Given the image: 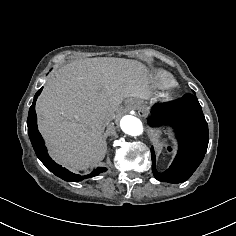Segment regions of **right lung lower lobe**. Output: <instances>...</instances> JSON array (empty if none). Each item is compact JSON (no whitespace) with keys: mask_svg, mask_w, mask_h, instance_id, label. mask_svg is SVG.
<instances>
[{"mask_svg":"<svg viewBox=\"0 0 236 236\" xmlns=\"http://www.w3.org/2000/svg\"><path fill=\"white\" fill-rule=\"evenodd\" d=\"M43 87L39 89V91L35 94L33 104L31 105L29 109V115L27 119V125H28V134L29 138L31 140L32 146L35 150V153L37 157L41 160V162L45 165V167L50 170L52 173H54L56 176L60 177L61 179L65 181H71V182H78L82 181L86 178L94 177L100 173H103L107 170L105 167H98L96 170H94L91 174L86 176H81L74 174L70 171H68L65 168H62L60 165L56 164L48 155L47 149L44 145V141L42 139L41 134L38 131L37 128V116L35 112V103L42 91Z\"/></svg>","mask_w":236,"mask_h":236,"instance_id":"98d812e1","label":"right lung lower lobe"}]
</instances>
